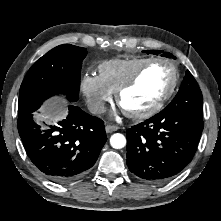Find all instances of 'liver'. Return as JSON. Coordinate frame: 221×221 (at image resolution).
I'll use <instances>...</instances> for the list:
<instances>
[{"instance_id": "obj_1", "label": "liver", "mask_w": 221, "mask_h": 221, "mask_svg": "<svg viewBox=\"0 0 221 221\" xmlns=\"http://www.w3.org/2000/svg\"><path fill=\"white\" fill-rule=\"evenodd\" d=\"M66 114L67 110L53 101L45 104L41 109V113H36V117L39 121L53 122Z\"/></svg>"}]
</instances>
